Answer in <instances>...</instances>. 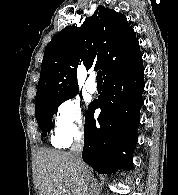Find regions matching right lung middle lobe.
<instances>
[{"instance_id": "dd1d6c3e", "label": "right lung middle lobe", "mask_w": 178, "mask_h": 195, "mask_svg": "<svg viewBox=\"0 0 178 195\" xmlns=\"http://www.w3.org/2000/svg\"><path fill=\"white\" fill-rule=\"evenodd\" d=\"M76 94L61 99L46 101L35 108L36 120L42 132L44 133V136H46L47 133H50V130L52 129V117L58 106L64 101L75 97Z\"/></svg>"}]
</instances>
